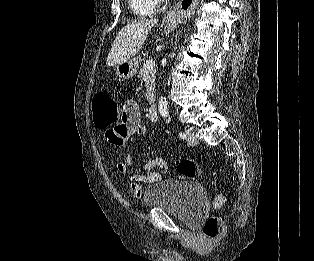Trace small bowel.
<instances>
[{
    "instance_id": "1",
    "label": "small bowel",
    "mask_w": 314,
    "mask_h": 261,
    "mask_svg": "<svg viewBox=\"0 0 314 261\" xmlns=\"http://www.w3.org/2000/svg\"><path fill=\"white\" fill-rule=\"evenodd\" d=\"M146 132V127L140 123L138 104L133 100H129L123 107L120 122L107 129L104 139L109 140L110 148H123L129 137L144 135ZM132 165V157L127 154L122 161L116 164V171L128 183L132 195L136 199L141 198L143 195L140 182L150 185L161 180V175L155 171V168H160L165 172L169 170L167 162L160 157L142 164L135 174H131L129 171Z\"/></svg>"
}]
</instances>
